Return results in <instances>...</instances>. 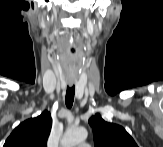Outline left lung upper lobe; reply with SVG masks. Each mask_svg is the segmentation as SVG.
<instances>
[{
	"mask_svg": "<svg viewBox=\"0 0 163 147\" xmlns=\"http://www.w3.org/2000/svg\"><path fill=\"white\" fill-rule=\"evenodd\" d=\"M95 147H137L134 139L120 125L104 121L100 114L89 119Z\"/></svg>",
	"mask_w": 163,
	"mask_h": 147,
	"instance_id": "5c2ea615",
	"label": "left lung upper lobe"
}]
</instances>
